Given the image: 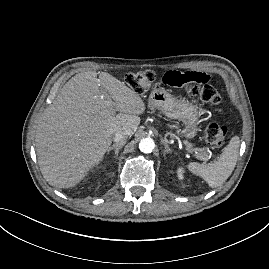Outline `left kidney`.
<instances>
[{
  "mask_svg": "<svg viewBox=\"0 0 269 269\" xmlns=\"http://www.w3.org/2000/svg\"><path fill=\"white\" fill-rule=\"evenodd\" d=\"M184 169L182 167L177 169V175L180 180L184 179Z\"/></svg>",
  "mask_w": 269,
  "mask_h": 269,
  "instance_id": "obj_1",
  "label": "left kidney"
}]
</instances>
